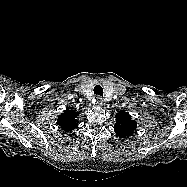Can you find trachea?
Masks as SVG:
<instances>
[{
  "label": "trachea",
  "instance_id": "trachea-1",
  "mask_svg": "<svg viewBox=\"0 0 187 187\" xmlns=\"http://www.w3.org/2000/svg\"><path fill=\"white\" fill-rule=\"evenodd\" d=\"M94 94L95 95H98V96H100V97H102L103 96V88L100 86V85H96L95 87H94Z\"/></svg>",
  "mask_w": 187,
  "mask_h": 187
}]
</instances>
